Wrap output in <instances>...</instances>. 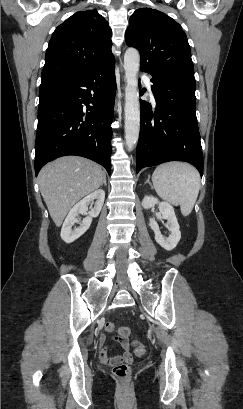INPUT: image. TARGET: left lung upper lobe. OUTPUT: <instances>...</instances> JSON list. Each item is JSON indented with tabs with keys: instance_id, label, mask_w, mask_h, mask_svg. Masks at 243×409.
<instances>
[{
	"instance_id": "5c2ea615",
	"label": "left lung upper lobe",
	"mask_w": 243,
	"mask_h": 409,
	"mask_svg": "<svg viewBox=\"0 0 243 409\" xmlns=\"http://www.w3.org/2000/svg\"><path fill=\"white\" fill-rule=\"evenodd\" d=\"M126 43L140 52L141 70L152 76L171 69L194 70L185 32L171 17L151 8L130 17Z\"/></svg>"
}]
</instances>
